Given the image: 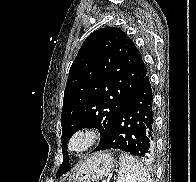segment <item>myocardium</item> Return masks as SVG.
<instances>
[{"label": "myocardium", "mask_w": 196, "mask_h": 182, "mask_svg": "<svg viewBox=\"0 0 196 182\" xmlns=\"http://www.w3.org/2000/svg\"><path fill=\"white\" fill-rule=\"evenodd\" d=\"M100 132L93 126H82L70 135L67 141L68 151L76 156L90 151L99 141Z\"/></svg>", "instance_id": "1"}]
</instances>
